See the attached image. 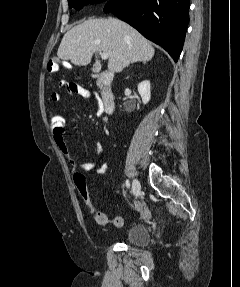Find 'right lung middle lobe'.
Segmentation results:
<instances>
[{"instance_id":"1","label":"right lung middle lobe","mask_w":240,"mask_h":287,"mask_svg":"<svg viewBox=\"0 0 240 287\" xmlns=\"http://www.w3.org/2000/svg\"><path fill=\"white\" fill-rule=\"evenodd\" d=\"M106 0H68L70 8L74 7L76 9L82 8L84 5L89 3L103 2Z\"/></svg>"}]
</instances>
